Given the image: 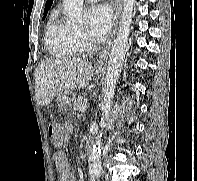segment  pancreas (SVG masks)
I'll return each mask as SVG.
<instances>
[{
	"label": "pancreas",
	"mask_w": 197,
	"mask_h": 181,
	"mask_svg": "<svg viewBox=\"0 0 197 181\" xmlns=\"http://www.w3.org/2000/svg\"><path fill=\"white\" fill-rule=\"evenodd\" d=\"M84 100L85 98L81 96L74 98L72 101V110L78 111L80 107L84 106Z\"/></svg>",
	"instance_id": "1"
}]
</instances>
